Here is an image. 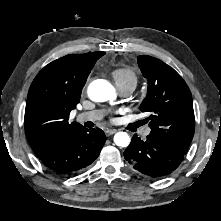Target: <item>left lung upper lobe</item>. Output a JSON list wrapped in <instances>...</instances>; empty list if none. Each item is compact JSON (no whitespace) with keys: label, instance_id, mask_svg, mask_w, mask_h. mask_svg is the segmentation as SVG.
Segmentation results:
<instances>
[{"label":"left lung upper lobe","instance_id":"obj_1","mask_svg":"<svg viewBox=\"0 0 221 221\" xmlns=\"http://www.w3.org/2000/svg\"><path fill=\"white\" fill-rule=\"evenodd\" d=\"M148 80V92L139 109L148 112L150 136L185 155L191 144L195 118L191 92L182 77L169 65L148 55L137 57Z\"/></svg>","mask_w":221,"mask_h":221}]
</instances>
